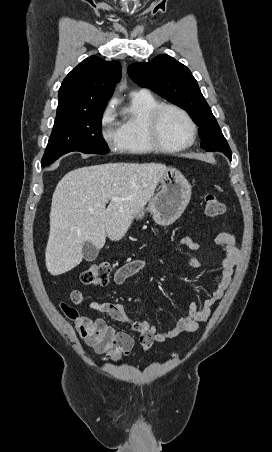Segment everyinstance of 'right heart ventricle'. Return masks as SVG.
<instances>
[{"mask_svg":"<svg viewBox=\"0 0 272 452\" xmlns=\"http://www.w3.org/2000/svg\"><path fill=\"white\" fill-rule=\"evenodd\" d=\"M161 103L149 92L132 94L131 103L120 122L121 150L133 154H146L156 149L147 136V120Z\"/></svg>","mask_w":272,"mask_h":452,"instance_id":"right-heart-ventricle-1","label":"right heart ventricle"}]
</instances>
